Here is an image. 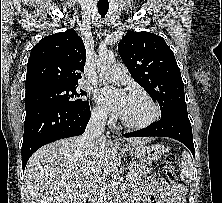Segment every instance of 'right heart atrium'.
Segmentation results:
<instances>
[{
	"label": "right heart atrium",
	"instance_id": "d8ad5b80",
	"mask_svg": "<svg viewBox=\"0 0 222 203\" xmlns=\"http://www.w3.org/2000/svg\"><path fill=\"white\" fill-rule=\"evenodd\" d=\"M92 117L98 122H105L108 119V113L103 108L95 106L92 110Z\"/></svg>",
	"mask_w": 222,
	"mask_h": 203
}]
</instances>
